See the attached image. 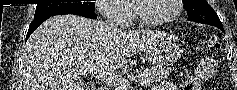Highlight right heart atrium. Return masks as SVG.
Listing matches in <instances>:
<instances>
[{
    "mask_svg": "<svg viewBox=\"0 0 237 90\" xmlns=\"http://www.w3.org/2000/svg\"><path fill=\"white\" fill-rule=\"evenodd\" d=\"M94 5L100 6L108 20H129L128 11L121 6L122 0H96Z\"/></svg>",
    "mask_w": 237,
    "mask_h": 90,
    "instance_id": "d8ad5b80",
    "label": "right heart atrium"
}]
</instances>
